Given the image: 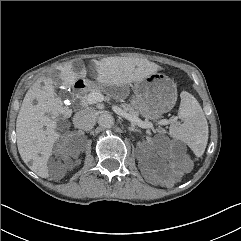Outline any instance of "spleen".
I'll use <instances>...</instances> for the list:
<instances>
[{
  "mask_svg": "<svg viewBox=\"0 0 241 241\" xmlns=\"http://www.w3.org/2000/svg\"><path fill=\"white\" fill-rule=\"evenodd\" d=\"M181 103L178 117L182 120L179 126L169 130L174 139L186 143L197 157L203 155L208 142V124L203 110L190 93L183 91L180 94Z\"/></svg>",
  "mask_w": 241,
  "mask_h": 241,
  "instance_id": "spleen-1",
  "label": "spleen"
}]
</instances>
